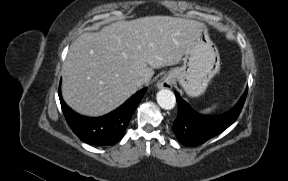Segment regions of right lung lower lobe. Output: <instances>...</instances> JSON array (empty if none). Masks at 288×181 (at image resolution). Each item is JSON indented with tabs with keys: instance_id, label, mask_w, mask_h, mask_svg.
Instances as JSON below:
<instances>
[{
	"instance_id": "1",
	"label": "right lung lower lobe",
	"mask_w": 288,
	"mask_h": 181,
	"mask_svg": "<svg viewBox=\"0 0 288 181\" xmlns=\"http://www.w3.org/2000/svg\"><path fill=\"white\" fill-rule=\"evenodd\" d=\"M146 91L147 88H143L116 110L97 118L75 113L63 101L60 89L59 99L68 125L80 140L91 145L107 146L123 138L132 114Z\"/></svg>"
}]
</instances>
